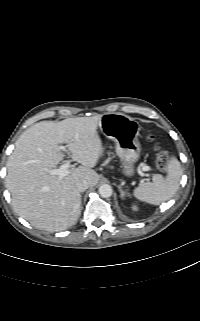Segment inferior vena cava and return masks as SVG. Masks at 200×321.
<instances>
[{
    "instance_id": "inferior-vena-cava-1",
    "label": "inferior vena cava",
    "mask_w": 200,
    "mask_h": 321,
    "mask_svg": "<svg viewBox=\"0 0 200 321\" xmlns=\"http://www.w3.org/2000/svg\"><path fill=\"white\" fill-rule=\"evenodd\" d=\"M76 188L79 192H83L85 191L86 189L89 188V183L88 181L86 180H79L77 183H76Z\"/></svg>"
}]
</instances>
